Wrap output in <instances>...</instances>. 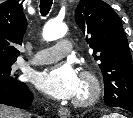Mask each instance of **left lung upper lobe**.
<instances>
[{"label":"left lung upper lobe","instance_id":"5c2ea615","mask_svg":"<svg viewBox=\"0 0 133 118\" xmlns=\"http://www.w3.org/2000/svg\"><path fill=\"white\" fill-rule=\"evenodd\" d=\"M75 21L103 74L104 100L133 113V66L119 16L102 0H80Z\"/></svg>","mask_w":133,"mask_h":118}]
</instances>
